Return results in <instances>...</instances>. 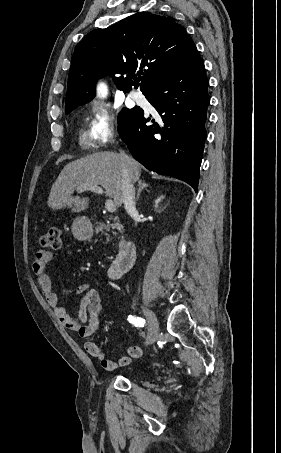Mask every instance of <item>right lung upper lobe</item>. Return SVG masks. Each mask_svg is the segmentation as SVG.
Listing matches in <instances>:
<instances>
[{"instance_id":"cb5924a9","label":"right lung upper lobe","mask_w":281,"mask_h":453,"mask_svg":"<svg viewBox=\"0 0 281 453\" xmlns=\"http://www.w3.org/2000/svg\"><path fill=\"white\" fill-rule=\"evenodd\" d=\"M197 53L185 28L170 16L141 12L93 30L72 55L65 111L92 100L96 81L105 75H121L114 81L124 92L134 85L144 93ZM136 72L142 76L133 81Z\"/></svg>"}]
</instances>
